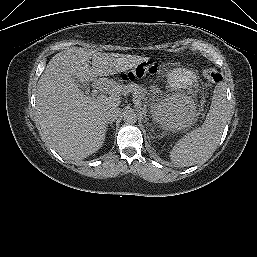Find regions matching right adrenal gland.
Here are the masks:
<instances>
[{
    "label": "right adrenal gland",
    "mask_w": 257,
    "mask_h": 257,
    "mask_svg": "<svg viewBox=\"0 0 257 257\" xmlns=\"http://www.w3.org/2000/svg\"><path fill=\"white\" fill-rule=\"evenodd\" d=\"M109 125L113 128V127H114V126H113V121L107 122V124H106V130H108V126H109Z\"/></svg>",
    "instance_id": "1"
}]
</instances>
